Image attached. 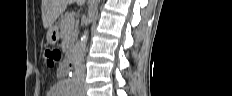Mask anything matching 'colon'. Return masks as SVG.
<instances>
[{
	"mask_svg": "<svg viewBox=\"0 0 232 96\" xmlns=\"http://www.w3.org/2000/svg\"><path fill=\"white\" fill-rule=\"evenodd\" d=\"M45 57L49 65H54L60 60L61 53L56 48H50L45 51Z\"/></svg>",
	"mask_w": 232,
	"mask_h": 96,
	"instance_id": "obj_1",
	"label": "colon"
}]
</instances>
